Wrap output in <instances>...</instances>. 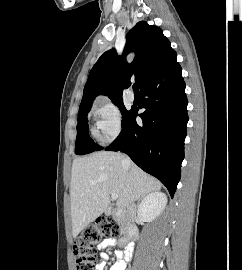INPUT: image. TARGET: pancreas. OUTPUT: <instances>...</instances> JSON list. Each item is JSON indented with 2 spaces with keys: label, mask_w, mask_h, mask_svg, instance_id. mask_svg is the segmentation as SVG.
I'll return each instance as SVG.
<instances>
[{
  "label": "pancreas",
  "mask_w": 242,
  "mask_h": 270,
  "mask_svg": "<svg viewBox=\"0 0 242 270\" xmlns=\"http://www.w3.org/2000/svg\"><path fill=\"white\" fill-rule=\"evenodd\" d=\"M117 223H118L119 225H121V223H120L119 221H117Z\"/></svg>",
  "instance_id": "pancreas-1"
}]
</instances>
